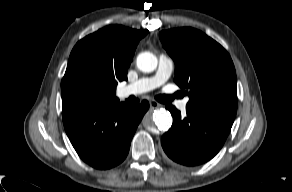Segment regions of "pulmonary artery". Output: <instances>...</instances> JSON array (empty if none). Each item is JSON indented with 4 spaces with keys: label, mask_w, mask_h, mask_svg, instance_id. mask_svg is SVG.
<instances>
[{
    "label": "pulmonary artery",
    "mask_w": 292,
    "mask_h": 192,
    "mask_svg": "<svg viewBox=\"0 0 292 192\" xmlns=\"http://www.w3.org/2000/svg\"><path fill=\"white\" fill-rule=\"evenodd\" d=\"M173 70V60L169 56L161 54L158 57V67L153 76L140 78L137 81L122 87L119 89L118 95L125 98L130 95H138L152 91L167 82L171 77ZM187 102L188 100L184 99L177 103L178 108L182 112L186 110Z\"/></svg>",
    "instance_id": "1"
}]
</instances>
